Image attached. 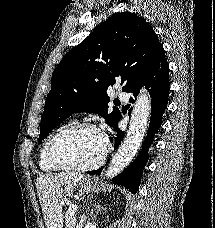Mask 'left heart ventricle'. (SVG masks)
Here are the masks:
<instances>
[{
  "label": "left heart ventricle",
  "mask_w": 215,
  "mask_h": 228,
  "mask_svg": "<svg viewBox=\"0 0 215 228\" xmlns=\"http://www.w3.org/2000/svg\"><path fill=\"white\" fill-rule=\"evenodd\" d=\"M101 132L77 129L66 134L56 148L57 158L68 165L83 166L95 162L103 153Z\"/></svg>",
  "instance_id": "obj_1"
}]
</instances>
